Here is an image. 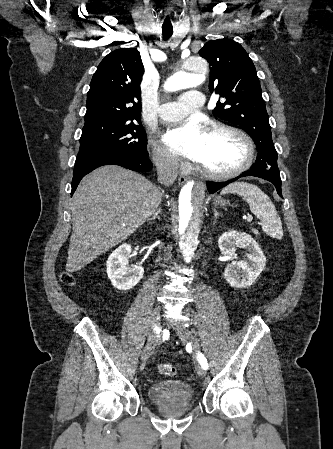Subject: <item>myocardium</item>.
I'll list each match as a JSON object with an SVG mask.
<instances>
[{
	"instance_id": "f54148a6",
	"label": "myocardium",
	"mask_w": 333,
	"mask_h": 449,
	"mask_svg": "<svg viewBox=\"0 0 333 449\" xmlns=\"http://www.w3.org/2000/svg\"><path fill=\"white\" fill-rule=\"evenodd\" d=\"M207 132L224 133L236 137L242 142L245 154L243 161L238 166L227 171H212L198 164L199 169L206 177L218 181L228 180L240 175L241 173L245 172L248 168H250L255 157V146L252 139L246 132L232 126L219 123L210 125L207 128Z\"/></svg>"
}]
</instances>
